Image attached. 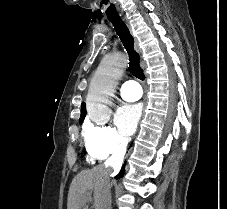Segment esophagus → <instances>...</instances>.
Instances as JSON below:
<instances>
[{
	"instance_id": "34e87169",
	"label": "esophagus",
	"mask_w": 227,
	"mask_h": 209,
	"mask_svg": "<svg viewBox=\"0 0 227 209\" xmlns=\"http://www.w3.org/2000/svg\"><path fill=\"white\" fill-rule=\"evenodd\" d=\"M120 19H123L124 22L126 23L127 27L130 29L131 33H132V29L129 23V14H120ZM135 50H137V52H141V49L139 47V43L138 40L135 39Z\"/></svg>"
}]
</instances>
